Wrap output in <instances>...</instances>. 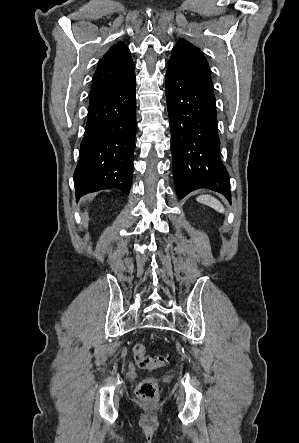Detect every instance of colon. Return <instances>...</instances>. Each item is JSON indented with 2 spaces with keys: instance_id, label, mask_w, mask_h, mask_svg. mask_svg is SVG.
Segmentation results:
<instances>
[{
  "instance_id": "obj_1",
  "label": "colon",
  "mask_w": 299,
  "mask_h": 443,
  "mask_svg": "<svg viewBox=\"0 0 299 443\" xmlns=\"http://www.w3.org/2000/svg\"><path fill=\"white\" fill-rule=\"evenodd\" d=\"M135 362L139 368L145 370H154L168 364L170 357L168 355L150 356L147 354L143 344H135L133 347ZM137 396L147 402H156L158 399V385L154 378H144L137 386Z\"/></svg>"
}]
</instances>
